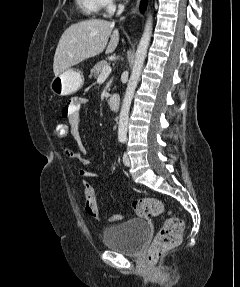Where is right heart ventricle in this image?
Segmentation results:
<instances>
[{"mask_svg":"<svg viewBox=\"0 0 240 287\" xmlns=\"http://www.w3.org/2000/svg\"><path fill=\"white\" fill-rule=\"evenodd\" d=\"M76 4L81 12L88 17L97 16L102 8L100 0H76Z\"/></svg>","mask_w":240,"mask_h":287,"instance_id":"1","label":"right heart ventricle"}]
</instances>
